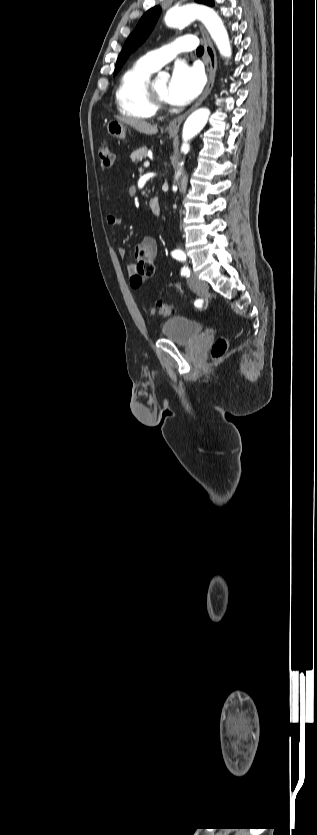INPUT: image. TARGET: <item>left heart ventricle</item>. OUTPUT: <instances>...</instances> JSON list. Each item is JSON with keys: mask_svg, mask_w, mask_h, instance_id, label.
<instances>
[{"mask_svg": "<svg viewBox=\"0 0 317 835\" xmlns=\"http://www.w3.org/2000/svg\"><path fill=\"white\" fill-rule=\"evenodd\" d=\"M168 84H169V82L167 80H164V79L156 80V81L153 82V86H154L155 91L164 100H167Z\"/></svg>", "mask_w": 317, "mask_h": 835, "instance_id": "left-heart-ventricle-1", "label": "left heart ventricle"}]
</instances>
